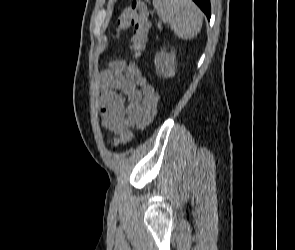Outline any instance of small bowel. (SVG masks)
Instances as JSON below:
<instances>
[{
    "label": "small bowel",
    "mask_w": 295,
    "mask_h": 250,
    "mask_svg": "<svg viewBox=\"0 0 295 250\" xmlns=\"http://www.w3.org/2000/svg\"><path fill=\"white\" fill-rule=\"evenodd\" d=\"M126 61H112L102 73L99 110L102 126L115 134L114 141L127 144L132 140L131 129L141 121L143 94L134 81L124 75Z\"/></svg>",
    "instance_id": "small-bowel-1"
}]
</instances>
